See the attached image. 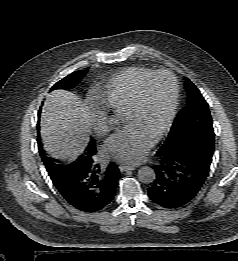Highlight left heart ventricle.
Segmentation results:
<instances>
[{"label":"left heart ventricle","mask_w":238,"mask_h":261,"mask_svg":"<svg viewBox=\"0 0 238 261\" xmlns=\"http://www.w3.org/2000/svg\"><path fill=\"white\" fill-rule=\"evenodd\" d=\"M172 81L167 75L154 77L147 84L140 109L127 114V126L135 125L151 137L163 125L172 99Z\"/></svg>","instance_id":"left-heart-ventricle-1"}]
</instances>
